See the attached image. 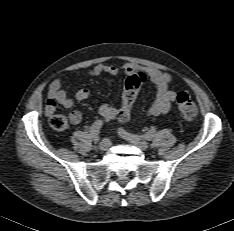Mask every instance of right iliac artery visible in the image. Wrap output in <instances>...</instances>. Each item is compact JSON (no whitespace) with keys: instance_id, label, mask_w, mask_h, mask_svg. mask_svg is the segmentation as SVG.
I'll return each mask as SVG.
<instances>
[{"instance_id":"82829eb1","label":"right iliac artery","mask_w":234,"mask_h":231,"mask_svg":"<svg viewBox=\"0 0 234 231\" xmlns=\"http://www.w3.org/2000/svg\"><path fill=\"white\" fill-rule=\"evenodd\" d=\"M102 125H103V121L102 120H97L90 127V135H91V138L94 141L99 140V131H100Z\"/></svg>"}]
</instances>
